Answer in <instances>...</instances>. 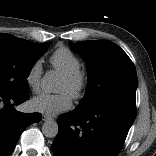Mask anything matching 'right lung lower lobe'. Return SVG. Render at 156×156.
I'll list each match as a JSON object with an SVG mask.
<instances>
[{
	"instance_id": "right-lung-lower-lobe-1",
	"label": "right lung lower lobe",
	"mask_w": 156,
	"mask_h": 156,
	"mask_svg": "<svg viewBox=\"0 0 156 156\" xmlns=\"http://www.w3.org/2000/svg\"><path fill=\"white\" fill-rule=\"evenodd\" d=\"M29 98V93L15 95L0 91V156H8L27 126L41 120L40 113L24 114L11 109Z\"/></svg>"
}]
</instances>
